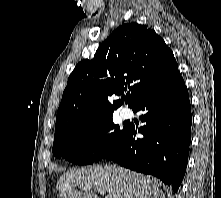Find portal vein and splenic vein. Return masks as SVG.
Segmentation results:
<instances>
[{
	"instance_id": "1",
	"label": "portal vein and splenic vein",
	"mask_w": 221,
	"mask_h": 198,
	"mask_svg": "<svg viewBox=\"0 0 221 198\" xmlns=\"http://www.w3.org/2000/svg\"><path fill=\"white\" fill-rule=\"evenodd\" d=\"M100 192V194H104V192H102V191H99Z\"/></svg>"
}]
</instances>
